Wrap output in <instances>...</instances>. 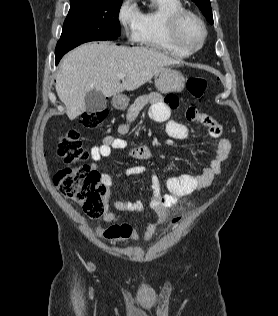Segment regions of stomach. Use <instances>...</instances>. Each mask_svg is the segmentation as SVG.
Instances as JSON below:
<instances>
[{
    "mask_svg": "<svg viewBox=\"0 0 278 316\" xmlns=\"http://www.w3.org/2000/svg\"><path fill=\"white\" fill-rule=\"evenodd\" d=\"M185 78L179 71L171 68H162L155 75V86L161 93L180 92L184 88ZM129 104V98L125 95H115L112 99L114 108L124 110Z\"/></svg>",
    "mask_w": 278,
    "mask_h": 316,
    "instance_id": "obj_1",
    "label": "stomach"
}]
</instances>
